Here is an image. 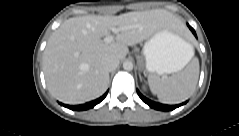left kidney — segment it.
Wrapping results in <instances>:
<instances>
[{
	"instance_id": "5707ae66",
	"label": "left kidney",
	"mask_w": 239,
	"mask_h": 136,
	"mask_svg": "<svg viewBox=\"0 0 239 136\" xmlns=\"http://www.w3.org/2000/svg\"><path fill=\"white\" fill-rule=\"evenodd\" d=\"M142 88H143V90H144V91H146V90H147V88H146V86H145V85H143V86H142Z\"/></svg>"
}]
</instances>
